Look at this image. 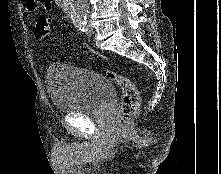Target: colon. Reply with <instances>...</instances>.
Segmentation results:
<instances>
[{
  "label": "colon",
  "instance_id": "1",
  "mask_svg": "<svg viewBox=\"0 0 221 174\" xmlns=\"http://www.w3.org/2000/svg\"><path fill=\"white\" fill-rule=\"evenodd\" d=\"M35 33L38 38L46 39L50 36L49 19L42 15L38 18ZM106 76L115 82L122 92V104L120 108L121 121L126 125L130 118L137 111L140 104V95L135 83L128 77L114 71H106Z\"/></svg>",
  "mask_w": 221,
  "mask_h": 174
}]
</instances>
